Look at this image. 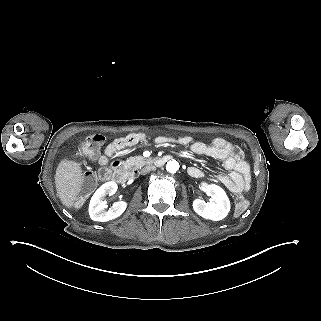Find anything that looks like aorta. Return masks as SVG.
Wrapping results in <instances>:
<instances>
[{
  "label": "aorta",
  "instance_id": "1",
  "mask_svg": "<svg viewBox=\"0 0 321 321\" xmlns=\"http://www.w3.org/2000/svg\"><path fill=\"white\" fill-rule=\"evenodd\" d=\"M179 169V163L176 160L169 161L166 165V170L169 173H175Z\"/></svg>",
  "mask_w": 321,
  "mask_h": 321
}]
</instances>
